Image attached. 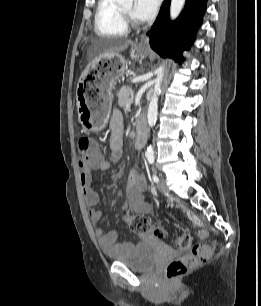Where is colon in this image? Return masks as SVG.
<instances>
[{
    "label": "colon",
    "instance_id": "1",
    "mask_svg": "<svg viewBox=\"0 0 261 306\" xmlns=\"http://www.w3.org/2000/svg\"><path fill=\"white\" fill-rule=\"evenodd\" d=\"M102 160L100 148L93 144L91 139L83 136L78 140V163L81 167H87ZM129 228L138 234L152 233L157 237H163L161 227L151 223L144 215H131L125 218ZM177 249L187 251L180 257L171 260L166 267L168 280L176 279L189 270L205 263L212 252V246L208 244H194L192 235L188 232H180L174 238Z\"/></svg>",
    "mask_w": 261,
    "mask_h": 306
}]
</instances>
